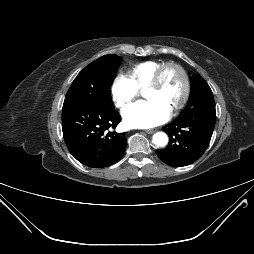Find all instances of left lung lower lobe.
<instances>
[{
  "mask_svg": "<svg viewBox=\"0 0 254 254\" xmlns=\"http://www.w3.org/2000/svg\"><path fill=\"white\" fill-rule=\"evenodd\" d=\"M215 121V106L187 105L173 122L163 127L170 142L165 149L156 151L158 157L173 167L192 164L207 149Z\"/></svg>",
  "mask_w": 254,
  "mask_h": 254,
  "instance_id": "0a47b994",
  "label": "left lung lower lobe"
}]
</instances>
